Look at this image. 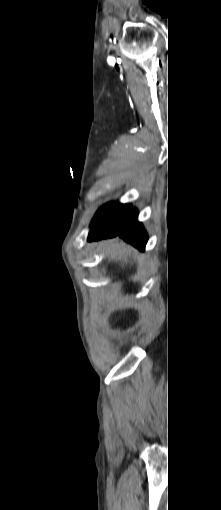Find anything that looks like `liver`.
<instances>
[{
    "label": "liver",
    "mask_w": 221,
    "mask_h": 510,
    "mask_svg": "<svg viewBox=\"0 0 221 510\" xmlns=\"http://www.w3.org/2000/svg\"><path fill=\"white\" fill-rule=\"evenodd\" d=\"M106 246V254L110 257V259L115 262H120L122 266L128 263L126 253H130V249L127 245L119 242L117 239H111L106 241Z\"/></svg>",
    "instance_id": "6515ba94"
}]
</instances>
